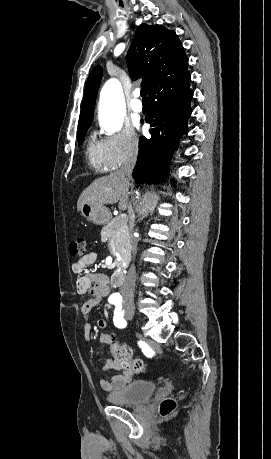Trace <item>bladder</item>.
Here are the masks:
<instances>
[{
  "mask_svg": "<svg viewBox=\"0 0 271 459\" xmlns=\"http://www.w3.org/2000/svg\"><path fill=\"white\" fill-rule=\"evenodd\" d=\"M155 391L156 381H133L118 392L109 393L108 398L115 405H140L150 400Z\"/></svg>",
  "mask_w": 271,
  "mask_h": 459,
  "instance_id": "bladder-1",
  "label": "bladder"
}]
</instances>
